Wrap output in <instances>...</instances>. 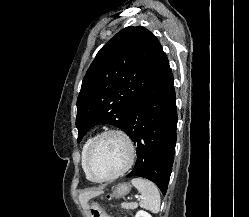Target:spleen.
<instances>
[{
  "label": "spleen",
  "mask_w": 249,
  "mask_h": 217,
  "mask_svg": "<svg viewBox=\"0 0 249 217\" xmlns=\"http://www.w3.org/2000/svg\"><path fill=\"white\" fill-rule=\"evenodd\" d=\"M131 182L142 194L140 206L153 213H158L161 199L157 186L153 182L143 178H133Z\"/></svg>",
  "instance_id": "3e777b00"
}]
</instances>
